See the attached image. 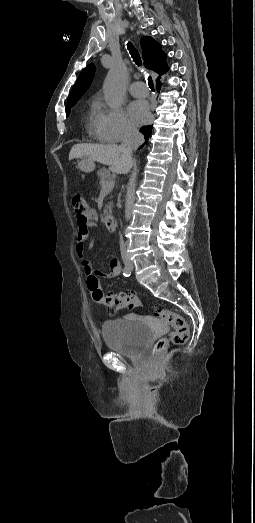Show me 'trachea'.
<instances>
[{"label": "trachea", "instance_id": "obj_1", "mask_svg": "<svg viewBox=\"0 0 255 523\" xmlns=\"http://www.w3.org/2000/svg\"><path fill=\"white\" fill-rule=\"evenodd\" d=\"M128 49L130 51L131 57L133 58V61L135 62V64H137L138 66H141L142 63H141L140 55H139L138 51L136 50V48L133 46V44H131L130 42L128 43ZM148 85L151 88V90L154 91V84H153V80L151 77H148Z\"/></svg>", "mask_w": 255, "mask_h": 523}]
</instances>
